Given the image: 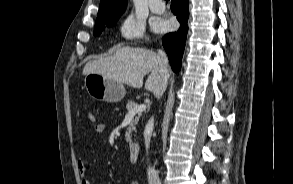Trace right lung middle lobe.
Here are the masks:
<instances>
[{"label":"right lung middle lobe","instance_id":"dd1d6c3e","mask_svg":"<svg viewBox=\"0 0 293 184\" xmlns=\"http://www.w3.org/2000/svg\"><path fill=\"white\" fill-rule=\"evenodd\" d=\"M116 22L117 20L109 22V23H105V24H99V25L96 24L94 27V36H99L106 27H111Z\"/></svg>","mask_w":293,"mask_h":184}]
</instances>
